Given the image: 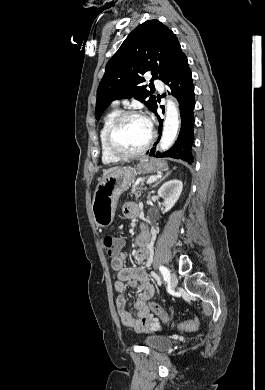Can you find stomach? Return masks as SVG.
I'll use <instances>...</instances> for the list:
<instances>
[{"label": "stomach", "instance_id": "stomach-1", "mask_svg": "<svg viewBox=\"0 0 265 390\" xmlns=\"http://www.w3.org/2000/svg\"><path fill=\"white\" fill-rule=\"evenodd\" d=\"M164 160L142 158L135 168H118L109 173L97 186L92 203V212L98 227L109 226L115 216L120 195L133 183L135 174H148L166 170Z\"/></svg>", "mask_w": 265, "mask_h": 390}]
</instances>
